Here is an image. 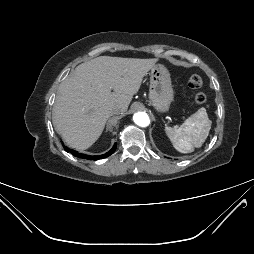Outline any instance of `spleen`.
<instances>
[{"mask_svg": "<svg viewBox=\"0 0 254 254\" xmlns=\"http://www.w3.org/2000/svg\"><path fill=\"white\" fill-rule=\"evenodd\" d=\"M211 120L204 107L187 118L176 127H165V132L173 147L181 153H191L194 148L201 147L209 135Z\"/></svg>", "mask_w": 254, "mask_h": 254, "instance_id": "3e777b00", "label": "spleen"}]
</instances>
